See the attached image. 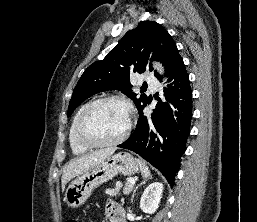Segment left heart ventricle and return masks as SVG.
Returning a JSON list of instances; mask_svg holds the SVG:
<instances>
[{
    "label": "left heart ventricle",
    "mask_w": 257,
    "mask_h": 222,
    "mask_svg": "<svg viewBox=\"0 0 257 222\" xmlns=\"http://www.w3.org/2000/svg\"><path fill=\"white\" fill-rule=\"evenodd\" d=\"M128 123V111L121 103L109 102L97 107L84 124L86 135L95 141H111L120 136Z\"/></svg>",
    "instance_id": "left-heart-ventricle-1"
}]
</instances>
